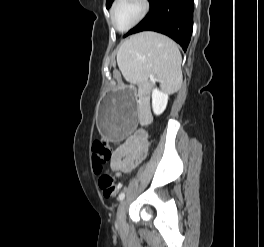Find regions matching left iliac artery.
Here are the masks:
<instances>
[{
  "label": "left iliac artery",
  "instance_id": "1",
  "mask_svg": "<svg viewBox=\"0 0 264 247\" xmlns=\"http://www.w3.org/2000/svg\"><path fill=\"white\" fill-rule=\"evenodd\" d=\"M125 198V193L124 192H121L118 196V200L119 201H122L123 199Z\"/></svg>",
  "mask_w": 264,
  "mask_h": 247
}]
</instances>
